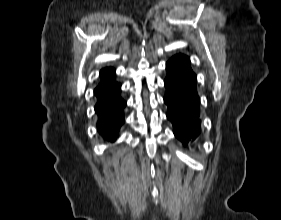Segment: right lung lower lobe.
<instances>
[{"label": "right lung lower lobe", "mask_w": 281, "mask_h": 220, "mask_svg": "<svg viewBox=\"0 0 281 220\" xmlns=\"http://www.w3.org/2000/svg\"><path fill=\"white\" fill-rule=\"evenodd\" d=\"M121 85L118 82L99 85L94 90L98 100L95 112L98 115L97 129L106 141H114L120 126L124 123L125 101L120 97Z\"/></svg>", "instance_id": "right-lung-lower-lobe-1"}]
</instances>
